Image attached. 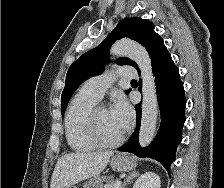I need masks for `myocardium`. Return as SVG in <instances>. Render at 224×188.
Wrapping results in <instances>:
<instances>
[{"label":"myocardium","mask_w":224,"mask_h":188,"mask_svg":"<svg viewBox=\"0 0 224 188\" xmlns=\"http://www.w3.org/2000/svg\"><path fill=\"white\" fill-rule=\"evenodd\" d=\"M101 109H106L105 106L95 105L89 112L86 121V128L89 138L92 142L99 147L111 148L120 145L124 139L126 132L124 131L118 138L114 140L104 139L99 132L98 128V113Z\"/></svg>","instance_id":"1"}]
</instances>
